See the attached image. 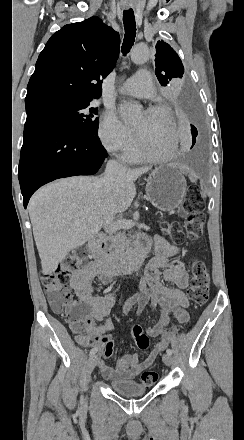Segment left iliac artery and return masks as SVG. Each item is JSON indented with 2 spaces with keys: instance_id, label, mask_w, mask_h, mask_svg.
I'll return each instance as SVG.
<instances>
[{
  "instance_id": "44dca946",
  "label": "left iliac artery",
  "mask_w": 244,
  "mask_h": 440,
  "mask_svg": "<svg viewBox=\"0 0 244 440\" xmlns=\"http://www.w3.org/2000/svg\"><path fill=\"white\" fill-rule=\"evenodd\" d=\"M166 352L168 353V354H170V355H172V350L170 349V348H168L167 350H166Z\"/></svg>"
}]
</instances>
